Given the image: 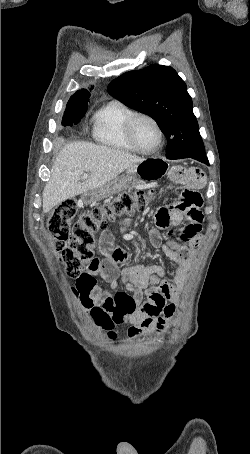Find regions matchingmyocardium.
Wrapping results in <instances>:
<instances>
[{
	"mask_svg": "<svg viewBox=\"0 0 250 454\" xmlns=\"http://www.w3.org/2000/svg\"><path fill=\"white\" fill-rule=\"evenodd\" d=\"M141 119H146V120L150 121L155 126V128L158 132L159 141H158L157 145L150 150L143 149L137 143L136 138H135V127H136L137 122ZM126 136H127L129 143L131 144V146L136 151H138L142 154H154L162 147V145L164 143V131H163L160 123L153 116H151L147 113H135L128 119L127 124H126Z\"/></svg>",
	"mask_w": 250,
	"mask_h": 454,
	"instance_id": "f54148a6",
	"label": "myocardium"
}]
</instances>
